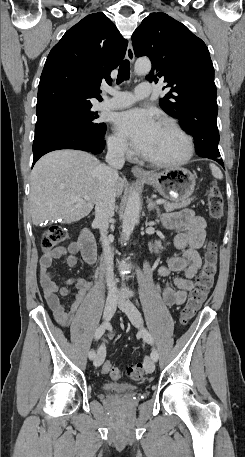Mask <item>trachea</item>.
<instances>
[{
  "label": "trachea",
  "mask_w": 245,
  "mask_h": 457,
  "mask_svg": "<svg viewBox=\"0 0 245 457\" xmlns=\"http://www.w3.org/2000/svg\"><path fill=\"white\" fill-rule=\"evenodd\" d=\"M130 77V62L129 60H123L121 62L119 70H118V77L117 83H122L124 80H128Z\"/></svg>",
  "instance_id": "1"
}]
</instances>
